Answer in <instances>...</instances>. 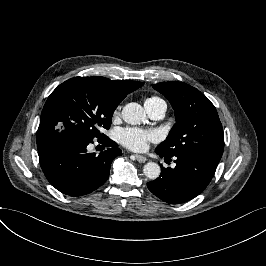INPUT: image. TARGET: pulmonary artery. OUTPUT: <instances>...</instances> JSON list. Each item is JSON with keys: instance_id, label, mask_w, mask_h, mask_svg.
<instances>
[{"instance_id": "pulmonary-artery-1", "label": "pulmonary artery", "mask_w": 266, "mask_h": 266, "mask_svg": "<svg viewBox=\"0 0 266 266\" xmlns=\"http://www.w3.org/2000/svg\"><path fill=\"white\" fill-rule=\"evenodd\" d=\"M149 115L154 119L162 118L167 110V104L165 101L160 102L156 106L145 105Z\"/></svg>"}]
</instances>
